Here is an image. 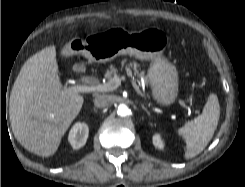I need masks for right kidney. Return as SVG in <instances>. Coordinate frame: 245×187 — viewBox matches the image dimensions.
<instances>
[{"label":"right kidney","mask_w":245,"mask_h":187,"mask_svg":"<svg viewBox=\"0 0 245 187\" xmlns=\"http://www.w3.org/2000/svg\"><path fill=\"white\" fill-rule=\"evenodd\" d=\"M89 128L86 123H75L71 128L68 140L73 149H79L86 144Z\"/></svg>","instance_id":"ca27d5eb"}]
</instances>
